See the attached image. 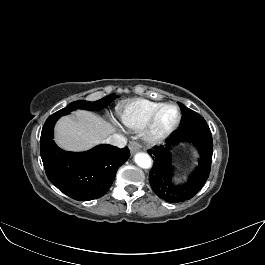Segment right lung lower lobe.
<instances>
[{
  "mask_svg": "<svg viewBox=\"0 0 265 265\" xmlns=\"http://www.w3.org/2000/svg\"><path fill=\"white\" fill-rule=\"evenodd\" d=\"M53 114L45 122L40 138V153L48 179L64 194L75 200L102 197L111 187L118 168L130 156L128 147L99 145L80 153L66 152L53 141L56 121Z\"/></svg>",
  "mask_w": 265,
  "mask_h": 265,
  "instance_id": "obj_1",
  "label": "right lung lower lobe"
}]
</instances>
